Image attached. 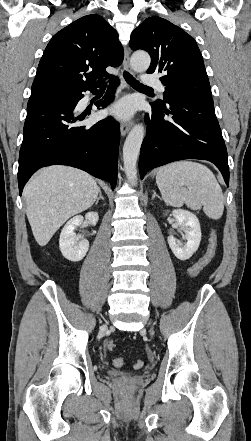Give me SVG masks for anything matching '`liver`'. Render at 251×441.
<instances>
[{
    "instance_id": "6515ba94",
    "label": "liver",
    "mask_w": 251,
    "mask_h": 441,
    "mask_svg": "<svg viewBox=\"0 0 251 441\" xmlns=\"http://www.w3.org/2000/svg\"><path fill=\"white\" fill-rule=\"evenodd\" d=\"M99 189L92 176L72 167L55 165L35 174L23 195L36 242L45 246L70 217L94 204Z\"/></svg>"
}]
</instances>
